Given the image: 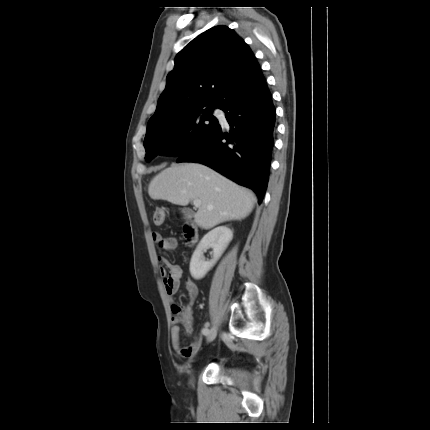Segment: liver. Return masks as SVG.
<instances>
[{"label":"liver","instance_id":"1","mask_svg":"<svg viewBox=\"0 0 430 430\" xmlns=\"http://www.w3.org/2000/svg\"><path fill=\"white\" fill-rule=\"evenodd\" d=\"M148 194L173 204L186 206L200 199L195 222L210 229L229 220H241L253 209L254 195L200 163L173 165L156 175L148 186Z\"/></svg>","mask_w":430,"mask_h":430}]
</instances>
